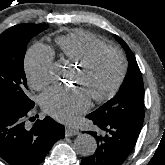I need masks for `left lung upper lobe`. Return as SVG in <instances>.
<instances>
[{
	"label": "left lung upper lobe",
	"mask_w": 165,
	"mask_h": 165,
	"mask_svg": "<svg viewBox=\"0 0 165 165\" xmlns=\"http://www.w3.org/2000/svg\"><path fill=\"white\" fill-rule=\"evenodd\" d=\"M116 40L126 51L128 72L118 93L100 108L87 116L100 121H116L142 127L144 119V86L134 54L118 36Z\"/></svg>",
	"instance_id": "obj_1"
}]
</instances>
